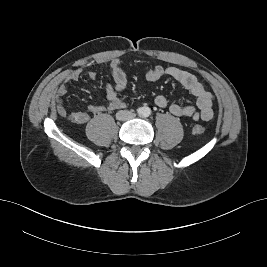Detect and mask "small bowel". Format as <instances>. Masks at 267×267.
I'll use <instances>...</instances> for the list:
<instances>
[{
	"label": "small bowel",
	"instance_id": "c3829d8e",
	"mask_svg": "<svg viewBox=\"0 0 267 267\" xmlns=\"http://www.w3.org/2000/svg\"><path fill=\"white\" fill-rule=\"evenodd\" d=\"M107 65L111 71L113 82L106 84V105L91 104L88 106V111L94 115H100L106 111H113L125 108V102L119 97L127 86V77L123 69L122 61L118 58L107 61ZM82 75L80 69L70 71L65 75L63 83H61L55 95L57 103V112L62 117H68L76 124H85L89 121V114L85 111H76L68 114L64 104L63 97L67 93V84L76 82ZM89 79L94 80L96 73L89 71L87 73ZM147 81L154 82L163 77H169L188 90L195 98L196 104L189 105L181 102H169L164 95H158L154 99V103L158 108H169V111L183 118H192L195 121H208L213 117L214 95L207 91L198 79L191 73L182 70L178 67H162L154 66L150 68L145 75Z\"/></svg>",
	"mask_w": 267,
	"mask_h": 267
}]
</instances>
